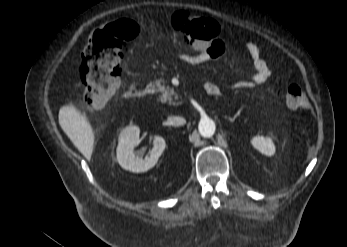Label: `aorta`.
Segmentation results:
<instances>
[{
  "label": "aorta",
  "instance_id": "obj_1",
  "mask_svg": "<svg viewBox=\"0 0 347 247\" xmlns=\"http://www.w3.org/2000/svg\"><path fill=\"white\" fill-rule=\"evenodd\" d=\"M215 128V122L210 118L202 119L199 123V131L203 137H212Z\"/></svg>",
  "mask_w": 347,
  "mask_h": 247
}]
</instances>
